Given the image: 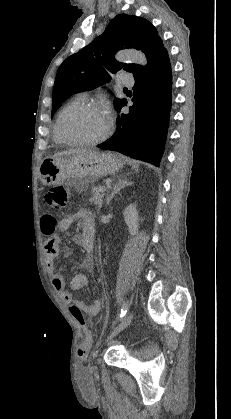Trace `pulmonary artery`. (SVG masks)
Returning a JSON list of instances; mask_svg holds the SVG:
<instances>
[{
	"mask_svg": "<svg viewBox=\"0 0 231 419\" xmlns=\"http://www.w3.org/2000/svg\"><path fill=\"white\" fill-rule=\"evenodd\" d=\"M119 81H120V83L122 84V85H124V86H128V87H131V86H133V84H134V80H133V78L131 77V76H121L120 78H119ZM87 95V93H84L83 94V96L85 97Z\"/></svg>",
	"mask_w": 231,
	"mask_h": 419,
	"instance_id": "obj_1",
	"label": "pulmonary artery"
}]
</instances>
